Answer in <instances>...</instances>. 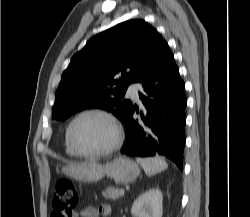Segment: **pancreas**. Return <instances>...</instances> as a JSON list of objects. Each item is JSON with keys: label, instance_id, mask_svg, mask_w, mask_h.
<instances>
[{"label": "pancreas", "instance_id": "obj_1", "mask_svg": "<svg viewBox=\"0 0 250 217\" xmlns=\"http://www.w3.org/2000/svg\"><path fill=\"white\" fill-rule=\"evenodd\" d=\"M121 188H114V187H107L105 191H103V196L105 198L111 199V200H116L120 196V191Z\"/></svg>", "mask_w": 250, "mask_h": 217}]
</instances>
